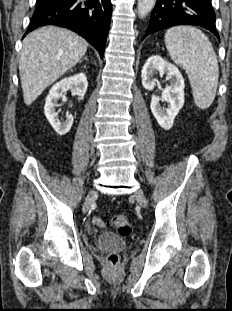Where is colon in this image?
I'll list each match as a JSON object with an SVG mask.
<instances>
[{
  "label": "colon",
  "instance_id": "obj_1",
  "mask_svg": "<svg viewBox=\"0 0 232 311\" xmlns=\"http://www.w3.org/2000/svg\"><path fill=\"white\" fill-rule=\"evenodd\" d=\"M110 225L122 236H128L132 232V224L125 215H114L110 220ZM108 263L112 267L117 266L119 263V256L116 253L109 254Z\"/></svg>",
  "mask_w": 232,
  "mask_h": 311
}]
</instances>
